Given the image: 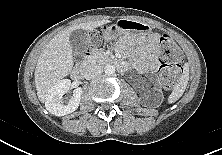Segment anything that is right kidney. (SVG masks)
<instances>
[{
	"mask_svg": "<svg viewBox=\"0 0 222 155\" xmlns=\"http://www.w3.org/2000/svg\"><path fill=\"white\" fill-rule=\"evenodd\" d=\"M71 87L69 79L58 81L48 91L47 99L45 101L46 109L55 116H64L74 112L80 104L82 89L78 87L73 91V97L68 104H64L63 95L68 92Z\"/></svg>",
	"mask_w": 222,
	"mask_h": 155,
	"instance_id": "1",
	"label": "right kidney"
}]
</instances>
